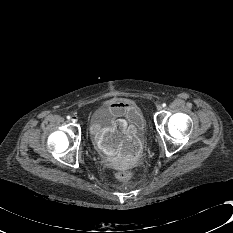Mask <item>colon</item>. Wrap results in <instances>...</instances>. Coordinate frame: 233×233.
Returning <instances> with one entry per match:
<instances>
[{
	"instance_id": "colon-1",
	"label": "colon",
	"mask_w": 233,
	"mask_h": 233,
	"mask_svg": "<svg viewBox=\"0 0 233 233\" xmlns=\"http://www.w3.org/2000/svg\"><path fill=\"white\" fill-rule=\"evenodd\" d=\"M116 126L118 130L123 129V124L120 122H118ZM116 178L121 182H128L131 180L132 174L128 170H120L117 172Z\"/></svg>"
}]
</instances>
